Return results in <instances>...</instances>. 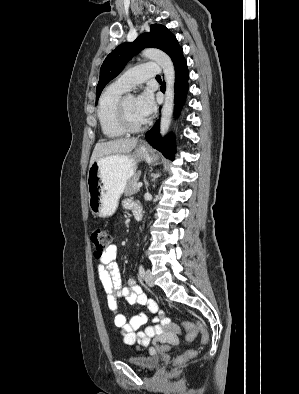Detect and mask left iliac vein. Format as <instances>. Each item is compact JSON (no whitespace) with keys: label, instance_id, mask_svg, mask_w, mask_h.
<instances>
[{"label":"left iliac vein","instance_id":"left-iliac-vein-1","mask_svg":"<svg viewBox=\"0 0 299 394\" xmlns=\"http://www.w3.org/2000/svg\"><path fill=\"white\" fill-rule=\"evenodd\" d=\"M145 282L149 287H153L154 286V280H153V276L150 270H146L145 273Z\"/></svg>","mask_w":299,"mask_h":394}]
</instances>
